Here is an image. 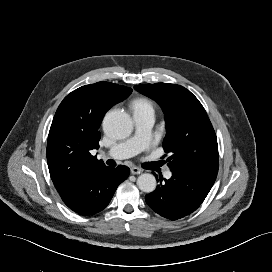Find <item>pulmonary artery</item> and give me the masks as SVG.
<instances>
[{
    "label": "pulmonary artery",
    "mask_w": 272,
    "mask_h": 272,
    "mask_svg": "<svg viewBox=\"0 0 272 272\" xmlns=\"http://www.w3.org/2000/svg\"><path fill=\"white\" fill-rule=\"evenodd\" d=\"M135 133L129 139L112 146L107 155L114 159H125L146 150L150 145L151 130L155 121L153 113H134ZM171 176L169 172L165 174Z\"/></svg>",
    "instance_id": "e3ab8cb5"
}]
</instances>
